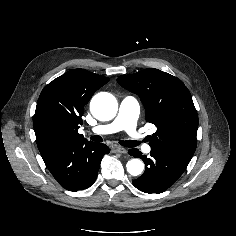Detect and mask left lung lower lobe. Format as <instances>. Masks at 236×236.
I'll list each match as a JSON object with an SVG mask.
<instances>
[{"instance_id": "left-lung-lower-lobe-1", "label": "left lung lower lobe", "mask_w": 236, "mask_h": 236, "mask_svg": "<svg viewBox=\"0 0 236 236\" xmlns=\"http://www.w3.org/2000/svg\"><path fill=\"white\" fill-rule=\"evenodd\" d=\"M128 153L141 158L146 164L145 172L133 181V185L149 194H159L167 190L179 179L190 162L154 147H151L149 158L136 148L129 150Z\"/></svg>"}]
</instances>
